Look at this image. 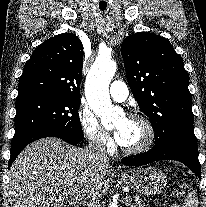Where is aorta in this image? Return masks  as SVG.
<instances>
[{"label": "aorta", "mask_w": 206, "mask_h": 207, "mask_svg": "<svg viewBox=\"0 0 206 207\" xmlns=\"http://www.w3.org/2000/svg\"><path fill=\"white\" fill-rule=\"evenodd\" d=\"M117 70L116 62L98 57L93 64L85 85V95L91 110L101 119L103 126L114 122L118 110L113 107L109 96V84Z\"/></svg>", "instance_id": "obj_1"}]
</instances>
